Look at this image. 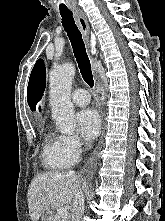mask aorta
I'll return each instance as SVG.
<instances>
[{
  "label": "aorta",
  "mask_w": 165,
  "mask_h": 221,
  "mask_svg": "<svg viewBox=\"0 0 165 221\" xmlns=\"http://www.w3.org/2000/svg\"><path fill=\"white\" fill-rule=\"evenodd\" d=\"M75 75V67L66 63L50 74V105L52 118L58 130L65 134H73L76 128L75 111L71 103V84Z\"/></svg>",
  "instance_id": "obj_1"
}]
</instances>
